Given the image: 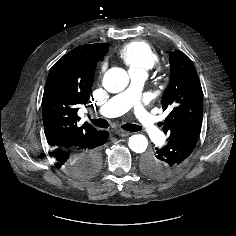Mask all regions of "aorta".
<instances>
[{
  "instance_id": "762f6f07",
  "label": "aorta",
  "mask_w": 236,
  "mask_h": 236,
  "mask_svg": "<svg viewBox=\"0 0 236 236\" xmlns=\"http://www.w3.org/2000/svg\"><path fill=\"white\" fill-rule=\"evenodd\" d=\"M129 83L127 72L118 67L109 69L103 78V86L110 93L123 91ZM128 146L135 153H143L148 147V140L142 134H136L129 138Z\"/></svg>"
}]
</instances>
